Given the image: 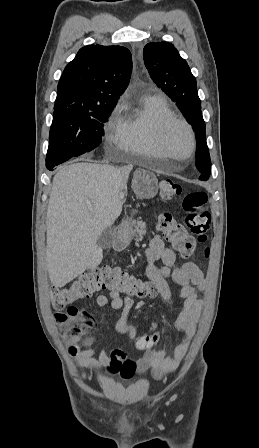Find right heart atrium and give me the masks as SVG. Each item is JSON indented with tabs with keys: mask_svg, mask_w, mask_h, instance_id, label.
I'll use <instances>...</instances> for the list:
<instances>
[{
	"mask_svg": "<svg viewBox=\"0 0 259 448\" xmlns=\"http://www.w3.org/2000/svg\"><path fill=\"white\" fill-rule=\"evenodd\" d=\"M116 111L117 108L115 109V114ZM102 141L103 146L106 149H116L122 147V136L113 118H110L104 126Z\"/></svg>",
	"mask_w": 259,
	"mask_h": 448,
	"instance_id": "obj_1",
	"label": "right heart atrium"
}]
</instances>
